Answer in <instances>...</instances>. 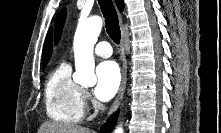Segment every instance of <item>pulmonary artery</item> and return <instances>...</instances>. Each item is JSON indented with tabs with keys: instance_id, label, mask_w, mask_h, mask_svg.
Wrapping results in <instances>:
<instances>
[{
	"instance_id": "pulmonary-artery-1",
	"label": "pulmonary artery",
	"mask_w": 221,
	"mask_h": 133,
	"mask_svg": "<svg viewBox=\"0 0 221 133\" xmlns=\"http://www.w3.org/2000/svg\"><path fill=\"white\" fill-rule=\"evenodd\" d=\"M94 51L97 56L102 58H108L112 55V47L107 41L99 42Z\"/></svg>"
}]
</instances>
